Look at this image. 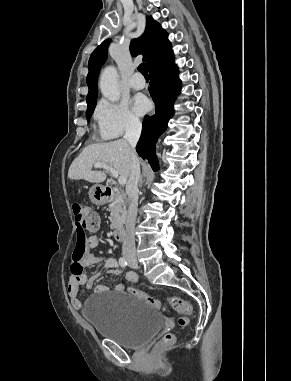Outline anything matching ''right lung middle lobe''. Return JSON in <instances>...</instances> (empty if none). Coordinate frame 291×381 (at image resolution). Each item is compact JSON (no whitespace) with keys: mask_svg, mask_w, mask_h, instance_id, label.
<instances>
[{"mask_svg":"<svg viewBox=\"0 0 291 381\" xmlns=\"http://www.w3.org/2000/svg\"><path fill=\"white\" fill-rule=\"evenodd\" d=\"M95 106H96V101L92 102L91 104L88 105V108H87V111H86V115H87V119L91 116V114L93 113L94 109H95Z\"/></svg>","mask_w":291,"mask_h":381,"instance_id":"obj_1","label":"right lung middle lobe"}]
</instances>
